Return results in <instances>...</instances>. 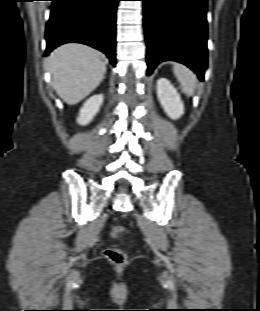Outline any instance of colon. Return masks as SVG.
<instances>
[{"instance_id":"5ec220e1","label":"colon","mask_w":260,"mask_h":311,"mask_svg":"<svg viewBox=\"0 0 260 311\" xmlns=\"http://www.w3.org/2000/svg\"><path fill=\"white\" fill-rule=\"evenodd\" d=\"M125 229L122 226H115L113 228V236L120 237L124 234ZM105 258L115 265H123L126 263L127 256L125 252L119 248H107L104 250Z\"/></svg>"}]
</instances>
